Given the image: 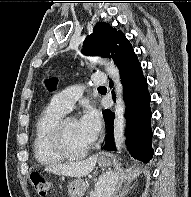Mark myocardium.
Masks as SVG:
<instances>
[{
    "label": "myocardium",
    "instance_id": "1",
    "mask_svg": "<svg viewBox=\"0 0 191 197\" xmlns=\"http://www.w3.org/2000/svg\"><path fill=\"white\" fill-rule=\"evenodd\" d=\"M70 119H75V118L72 116H65L62 117L57 122V124L55 125L52 131V136H51L52 144L55 150L57 151V153L61 155L64 159H68V160L81 159L89 153V151L92 149V145H89L88 147L84 148L80 152H72L68 149L65 141V126Z\"/></svg>",
    "mask_w": 191,
    "mask_h": 197
}]
</instances>
